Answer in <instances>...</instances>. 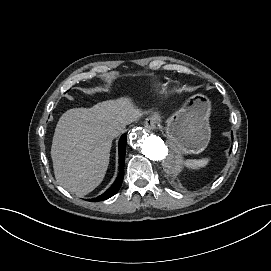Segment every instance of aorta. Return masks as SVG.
<instances>
[{
  "instance_id": "aorta-1",
  "label": "aorta",
  "mask_w": 271,
  "mask_h": 271,
  "mask_svg": "<svg viewBox=\"0 0 271 271\" xmlns=\"http://www.w3.org/2000/svg\"><path fill=\"white\" fill-rule=\"evenodd\" d=\"M129 145L152 161L161 162L168 173H177L187 164L182 160L185 152L175 143L164 142L159 136L150 134L143 127L132 129L128 137Z\"/></svg>"
}]
</instances>
